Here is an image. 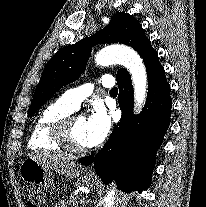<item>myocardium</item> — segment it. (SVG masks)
<instances>
[{
	"instance_id": "f54148a6",
	"label": "myocardium",
	"mask_w": 206,
	"mask_h": 207,
	"mask_svg": "<svg viewBox=\"0 0 206 207\" xmlns=\"http://www.w3.org/2000/svg\"><path fill=\"white\" fill-rule=\"evenodd\" d=\"M81 116L71 113L70 115L57 121L52 128V136L54 142L59 148L71 155H84L91 149L89 147L82 148L74 145L71 137V129L74 121Z\"/></svg>"
}]
</instances>
